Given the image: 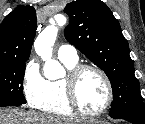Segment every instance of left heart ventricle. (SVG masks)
<instances>
[{"label":"left heart ventricle","instance_id":"obj_1","mask_svg":"<svg viewBox=\"0 0 145 124\" xmlns=\"http://www.w3.org/2000/svg\"><path fill=\"white\" fill-rule=\"evenodd\" d=\"M79 101L87 112H95L103 107L107 100V89L100 75L92 70L86 71L79 79Z\"/></svg>","mask_w":145,"mask_h":124}]
</instances>
